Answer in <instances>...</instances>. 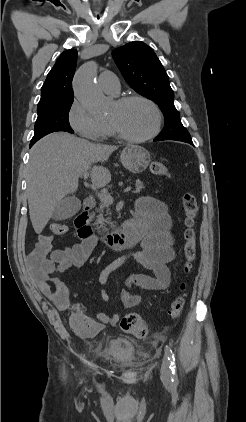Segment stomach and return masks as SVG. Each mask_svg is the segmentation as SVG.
<instances>
[{"mask_svg":"<svg viewBox=\"0 0 246 422\" xmlns=\"http://www.w3.org/2000/svg\"><path fill=\"white\" fill-rule=\"evenodd\" d=\"M120 159L123 166L134 174L143 172L151 160L145 148L134 144H129L122 150Z\"/></svg>","mask_w":246,"mask_h":422,"instance_id":"1","label":"stomach"}]
</instances>
